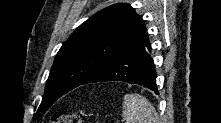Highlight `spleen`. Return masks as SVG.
Returning <instances> with one entry per match:
<instances>
[{"label": "spleen", "instance_id": "3e777b00", "mask_svg": "<svg viewBox=\"0 0 221 123\" xmlns=\"http://www.w3.org/2000/svg\"><path fill=\"white\" fill-rule=\"evenodd\" d=\"M122 115L126 123H158L154 106L137 93L124 96Z\"/></svg>", "mask_w": 221, "mask_h": 123}]
</instances>
